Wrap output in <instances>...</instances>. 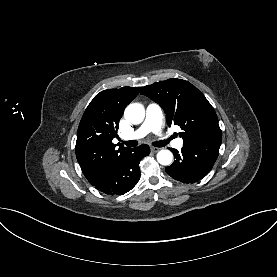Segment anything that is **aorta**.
<instances>
[{"mask_svg": "<svg viewBox=\"0 0 277 277\" xmlns=\"http://www.w3.org/2000/svg\"><path fill=\"white\" fill-rule=\"evenodd\" d=\"M125 119L132 124H140L145 117V110L143 105L139 103H133L126 107L124 112ZM173 154L169 150H160L157 153V161L161 165H170L172 163Z\"/></svg>", "mask_w": 277, "mask_h": 277, "instance_id": "obj_1", "label": "aorta"}]
</instances>
